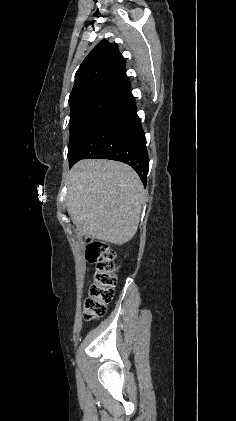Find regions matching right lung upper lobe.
Instances as JSON below:
<instances>
[{"mask_svg":"<svg viewBox=\"0 0 236 421\" xmlns=\"http://www.w3.org/2000/svg\"><path fill=\"white\" fill-rule=\"evenodd\" d=\"M126 80L125 62L118 47L113 43L101 41L77 70L70 97L105 86H122Z\"/></svg>","mask_w":236,"mask_h":421,"instance_id":"cb5924a9","label":"right lung upper lobe"}]
</instances>
